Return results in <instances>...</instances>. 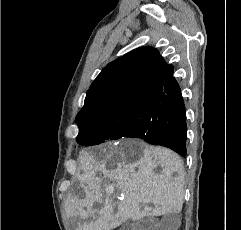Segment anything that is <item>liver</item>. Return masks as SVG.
<instances>
[{
	"label": "liver",
	"instance_id": "1",
	"mask_svg": "<svg viewBox=\"0 0 241 230\" xmlns=\"http://www.w3.org/2000/svg\"><path fill=\"white\" fill-rule=\"evenodd\" d=\"M135 149H143V156L130 162L127 158L134 154ZM157 167L162 168L159 173L155 172ZM80 169L83 173L78 179L85 198L69 197L68 214L87 218L97 212L93 208L95 202L102 204V208L90 223H79L77 230H110L119 223L113 214L115 207L120 221H135L145 216L170 211L179 213L182 210L183 162L179 155L169 149L148 147L139 141H125L104 150L103 159L84 153ZM106 178L124 195L123 200L114 203L115 195L103 198L101 183ZM147 204H153L154 207H148Z\"/></svg>",
	"mask_w": 241,
	"mask_h": 230
}]
</instances>
